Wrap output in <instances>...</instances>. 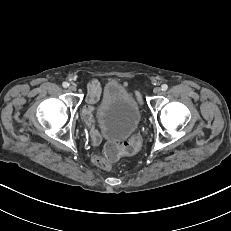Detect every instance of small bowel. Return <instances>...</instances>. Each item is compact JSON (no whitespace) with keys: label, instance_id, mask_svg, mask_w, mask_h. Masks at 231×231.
Returning <instances> with one entry per match:
<instances>
[{"label":"small bowel","instance_id":"c3829d8e","mask_svg":"<svg viewBox=\"0 0 231 231\" xmlns=\"http://www.w3.org/2000/svg\"><path fill=\"white\" fill-rule=\"evenodd\" d=\"M101 90H102L101 84L97 80H92L88 84L87 97H86L87 106L84 109V117H85L86 122L89 125H91L93 122V119H92L93 112L96 106L98 105V103L100 102ZM92 138L94 142H98L99 140V136L97 132L94 130H92Z\"/></svg>","mask_w":231,"mask_h":231}]
</instances>
